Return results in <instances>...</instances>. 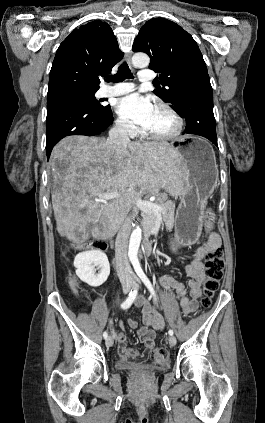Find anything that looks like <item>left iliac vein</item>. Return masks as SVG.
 Here are the masks:
<instances>
[{"mask_svg":"<svg viewBox=\"0 0 265 423\" xmlns=\"http://www.w3.org/2000/svg\"><path fill=\"white\" fill-rule=\"evenodd\" d=\"M135 280L137 281V283H139V279L137 277H135ZM169 344L170 346L176 345V338L174 336L169 337Z\"/></svg>","mask_w":265,"mask_h":423,"instance_id":"obj_1","label":"left iliac vein"}]
</instances>
